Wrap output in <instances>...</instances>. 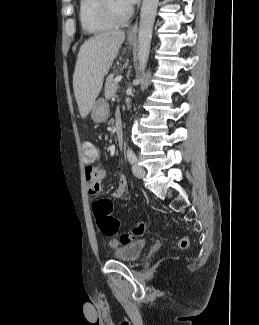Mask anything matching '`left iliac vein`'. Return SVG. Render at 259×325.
Returning <instances> with one entry per match:
<instances>
[{
	"label": "left iliac vein",
	"mask_w": 259,
	"mask_h": 325,
	"mask_svg": "<svg viewBox=\"0 0 259 325\" xmlns=\"http://www.w3.org/2000/svg\"><path fill=\"white\" fill-rule=\"evenodd\" d=\"M132 171H133V174L139 179L144 178V176H145V170L141 166H139L137 163L133 164Z\"/></svg>",
	"instance_id": "1"
}]
</instances>
